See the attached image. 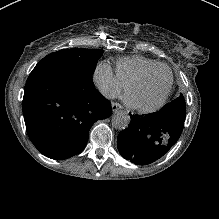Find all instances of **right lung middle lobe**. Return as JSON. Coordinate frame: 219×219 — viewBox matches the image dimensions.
I'll return each instance as SVG.
<instances>
[{"instance_id": "dd1d6c3e", "label": "right lung middle lobe", "mask_w": 219, "mask_h": 219, "mask_svg": "<svg viewBox=\"0 0 219 219\" xmlns=\"http://www.w3.org/2000/svg\"><path fill=\"white\" fill-rule=\"evenodd\" d=\"M103 52L104 51L100 49H63L47 55L36 65V67L45 65L53 61H69L80 66L89 74H92V70L96 65L98 59L102 56Z\"/></svg>"}]
</instances>
